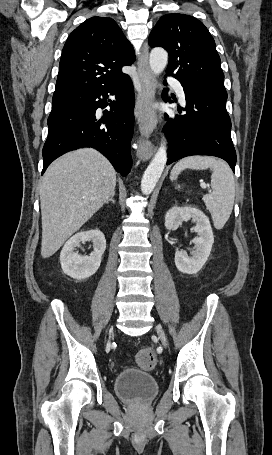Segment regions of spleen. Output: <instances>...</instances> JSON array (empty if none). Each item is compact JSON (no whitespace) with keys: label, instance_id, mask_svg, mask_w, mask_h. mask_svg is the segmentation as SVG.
<instances>
[{"label":"spleen","instance_id":"spleen-1","mask_svg":"<svg viewBox=\"0 0 272 455\" xmlns=\"http://www.w3.org/2000/svg\"><path fill=\"white\" fill-rule=\"evenodd\" d=\"M186 168L212 170V192L204 195L203 201L211 213L215 228L222 229L231 215L235 199V181L230 167L224 161L213 157L190 156L176 163L170 173V179L175 181Z\"/></svg>","mask_w":272,"mask_h":455}]
</instances>
